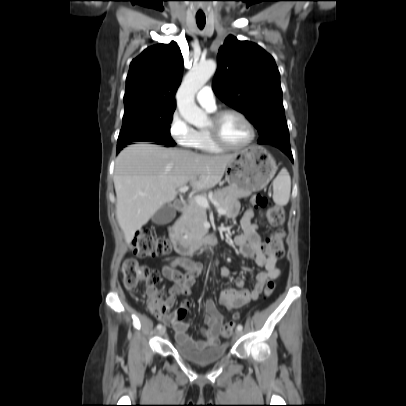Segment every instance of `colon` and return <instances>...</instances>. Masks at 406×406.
Returning a JSON list of instances; mask_svg holds the SVG:
<instances>
[{
	"mask_svg": "<svg viewBox=\"0 0 406 406\" xmlns=\"http://www.w3.org/2000/svg\"><path fill=\"white\" fill-rule=\"evenodd\" d=\"M251 204L258 208H265V218L270 225L281 227L284 223V213L280 207L271 205L269 199L261 194H256L251 197ZM283 239L284 232L276 231L267 240L268 250L272 251L277 258L283 255ZM133 252L139 257H156L168 254L171 251L170 243L158 237L150 228H143L135 233L131 242ZM122 282L124 288L129 292H136L139 287L146 286V295L149 305L155 315H160L161 310L157 307L158 299L163 296V291L156 289V285L160 281L159 272L155 269L148 268L140 264L136 259H126L122 264ZM275 290L274 282H269L264 289V297L267 298L273 294ZM184 310H179L178 319H182L185 315ZM238 315L227 321L220 329L222 337H228L233 332L238 322Z\"/></svg>",
	"mask_w": 406,
	"mask_h": 406,
	"instance_id": "1",
	"label": "colon"
}]
</instances>
